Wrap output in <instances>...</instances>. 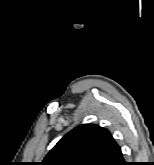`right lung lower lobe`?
Here are the masks:
<instances>
[{"label": "right lung lower lobe", "instance_id": "obj_1", "mask_svg": "<svg viewBox=\"0 0 154 165\" xmlns=\"http://www.w3.org/2000/svg\"><path fill=\"white\" fill-rule=\"evenodd\" d=\"M111 165H126V162L123 160L121 150L114 159V161L111 163Z\"/></svg>", "mask_w": 154, "mask_h": 165}]
</instances>
